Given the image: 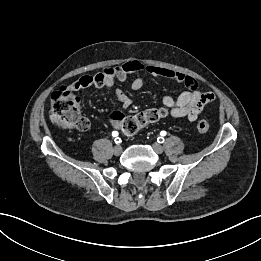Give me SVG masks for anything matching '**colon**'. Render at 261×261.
<instances>
[{"label": "colon", "instance_id": "colon-1", "mask_svg": "<svg viewBox=\"0 0 261 261\" xmlns=\"http://www.w3.org/2000/svg\"><path fill=\"white\" fill-rule=\"evenodd\" d=\"M81 85V82L76 81L70 86L55 91L51 96L50 118L62 128L85 131L90 126L89 120L81 113L79 98L74 94V91ZM167 114L168 111L165 108H150L129 116L114 112L111 117L119 122L123 135L132 136L143 127L164 118ZM196 128L198 132L206 133L209 130V123L200 120Z\"/></svg>", "mask_w": 261, "mask_h": 261}]
</instances>
